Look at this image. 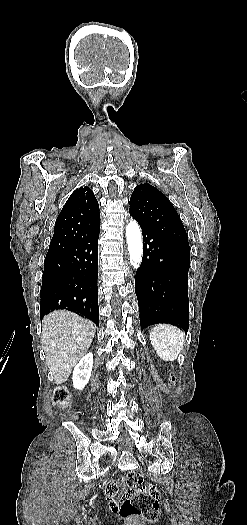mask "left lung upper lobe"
<instances>
[{"label":"left lung upper lobe","instance_id":"left-lung-upper-lobe-1","mask_svg":"<svg viewBox=\"0 0 247 525\" xmlns=\"http://www.w3.org/2000/svg\"><path fill=\"white\" fill-rule=\"evenodd\" d=\"M129 204L130 216L140 226L156 228L190 251L187 233L179 215L168 198L157 188L147 183L137 185Z\"/></svg>","mask_w":247,"mask_h":525}]
</instances>
